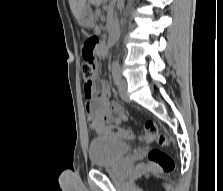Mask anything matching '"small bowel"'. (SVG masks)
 <instances>
[{
  "label": "small bowel",
  "mask_w": 223,
  "mask_h": 191,
  "mask_svg": "<svg viewBox=\"0 0 223 191\" xmlns=\"http://www.w3.org/2000/svg\"><path fill=\"white\" fill-rule=\"evenodd\" d=\"M83 91L88 99L86 111L91 129L101 134L105 131L106 124H120L126 121L127 116L123 106L110 100L111 90L107 81H100L98 88L93 82L85 83Z\"/></svg>",
  "instance_id": "obj_1"
}]
</instances>
